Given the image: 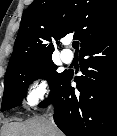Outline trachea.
I'll return each mask as SVG.
<instances>
[{"label": "trachea", "mask_w": 117, "mask_h": 136, "mask_svg": "<svg viewBox=\"0 0 117 136\" xmlns=\"http://www.w3.org/2000/svg\"><path fill=\"white\" fill-rule=\"evenodd\" d=\"M72 47H73L76 51H78L79 42H78V41H74V42L72 43Z\"/></svg>", "instance_id": "3493384b"}]
</instances>
